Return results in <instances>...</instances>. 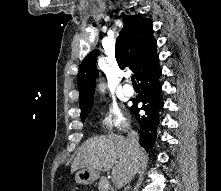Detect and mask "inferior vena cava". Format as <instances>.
Instances as JSON below:
<instances>
[{
	"mask_svg": "<svg viewBox=\"0 0 221 191\" xmlns=\"http://www.w3.org/2000/svg\"><path fill=\"white\" fill-rule=\"evenodd\" d=\"M127 140L129 143L130 152L132 155V172L137 170L139 163V143H138V135L136 132L131 131L128 133Z\"/></svg>",
	"mask_w": 221,
	"mask_h": 191,
	"instance_id": "1",
	"label": "inferior vena cava"
}]
</instances>
